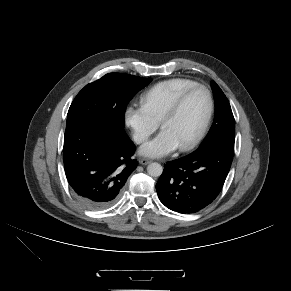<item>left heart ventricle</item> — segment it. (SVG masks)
Listing matches in <instances>:
<instances>
[{
    "mask_svg": "<svg viewBox=\"0 0 291 291\" xmlns=\"http://www.w3.org/2000/svg\"><path fill=\"white\" fill-rule=\"evenodd\" d=\"M208 110V98L203 90H195L184 101L179 111L167 120L163 130L176 139L178 145L190 141L200 129Z\"/></svg>",
    "mask_w": 291,
    "mask_h": 291,
    "instance_id": "obj_1",
    "label": "left heart ventricle"
}]
</instances>
